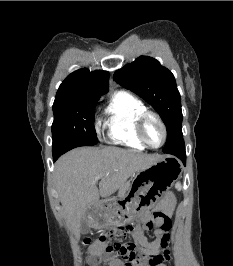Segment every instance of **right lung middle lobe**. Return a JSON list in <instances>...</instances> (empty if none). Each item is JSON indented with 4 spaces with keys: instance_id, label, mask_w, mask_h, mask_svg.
I'll list each match as a JSON object with an SVG mask.
<instances>
[{
    "instance_id": "1",
    "label": "right lung middle lobe",
    "mask_w": 233,
    "mask_h": 266,
    "mask_svg": "<svg viewBox=\"0 0 233 266\" xmlns=\"http://www.w3.org/2000/svg\"><path fill=\"white\" fill-rule=\"evenodd\" d=\"M99 97L55 100L52 124L53 155L63 154L78 146L98 142L94 128L95 106Z\"/></svg>"
}]
</instances>
